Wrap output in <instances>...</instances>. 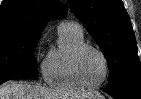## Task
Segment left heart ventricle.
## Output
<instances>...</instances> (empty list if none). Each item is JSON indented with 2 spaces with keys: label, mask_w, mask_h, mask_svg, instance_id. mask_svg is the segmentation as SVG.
<instances>
[{
  "label": "left heart ventricle",
  "mask_w": 141,
  "mask_h": 99,
  "mask_svg": "<svg viewBox=\"0 0 141 99\" xmlns=\"http://www.w3.org/2000/svg\"><path fill=\"white\" fill-rule=\"evenodd\" d=\"M80 70L85 82L89 84L99 83L105 72L102 57L94 50H87L81 58Z\"/></svg>",
  "instance_id": "1"
}]
</instances>
